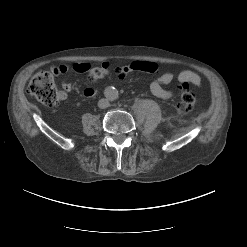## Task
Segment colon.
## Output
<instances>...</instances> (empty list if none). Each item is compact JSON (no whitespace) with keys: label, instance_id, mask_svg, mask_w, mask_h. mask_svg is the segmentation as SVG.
I'll return each instance as SVG.
<instances>
[{"label":"colon","instance_id":"1","mask_svg":"<svg viewBox=\"0 0 247 247\" xmlns=\"http://www.w3.org/2000/svg\"><path fill=\"white\" fill-rule=\"evenodd\" d=\"M109 73V65L102 64L100 67L91 68L88 71V80L91 83L97 82ZM29 92L43 104L55 106L58 104L59 92L57 91L54 77L51 72L40 71L36 73L29 83ZM196 105V95L194 91L186 84L180 87L177 110L181 114L190 113Z\"/></svg>","mask_w":247,"mask_h":247}]
</instances>
